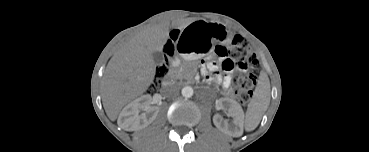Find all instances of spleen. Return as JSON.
I'll return each instance as SVG.
<instances>
[{
    "instance_id": "obj_1",
    "label": "spleen",
    "mask_w": 369,
    "mask_h": 152,
    "mask_svg": "<svg viewBox=\"0 0 369 152\" xmlns=\"http://www.w3.org/2000/svg\"><path fill=\"white\" fill-rule=\"evenodd\" d=\"M263 83V89L259 91V95H257V99L253 100L250 109H249V115H250V121H249V130L256 127V125L259 123V119L261 114L266 110L267 104H268V98H267V88H268V82L266 79H264Z\"/></svg>"
}]
</instances>
